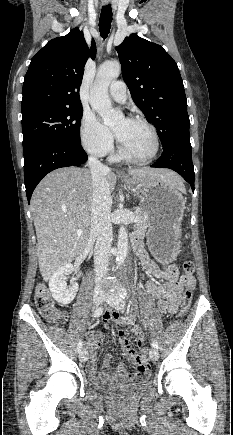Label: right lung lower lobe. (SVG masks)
<instances>
[{
	"label": "right lung lower lobe",
	"instance_id": "1",
	"mask_svg": "<svg viewBox=\"0 0 233 435\" xmlns=\"http://www.w3.org/2000/svg\"><path fill=\"white\" fill-rule=\"evenodd\" d=\"M24 149V175L28 202L32 193L49 172L67 166H82L87 154L80 145L60 141L43 140L30 144Z\"/></svg>",
	"mask_w": 233,
	"mask_h": 435
}]
</instances>
